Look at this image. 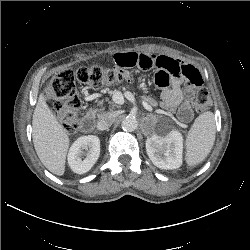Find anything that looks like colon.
<instances>
[{
    "instance_id": "colon-1",
    "label": "colon",
    "mask_w": 250,
    "mask_h": 250,
    "mask_svg": "<svg viewBox=\"0 0 250 250\" xmlns=\"http://www.w3.org/2000/svg\"><path fill=\"white\" fill-rule=\"evenodd\" d=\"M76 80L90 88L100 89L123 82H129L127 73L101 66L81 67L77 70L64 69L55 74L46 88V98L53 104V109L62 126L67 131L77 127L81 102L76 94ZM212 101L205 88H199L193 98V106L198 113L211 107Z\"/></svg>"
}]
</instances>
